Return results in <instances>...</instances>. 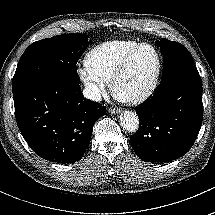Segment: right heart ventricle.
<instances>
[{
    "mask_svg": "<svg viewBox=\"0 0 215 215\" xmlns=\"http://www.w3.org/2000/svg\"><path fill=\"white\" fill-rule=\"evenodd\" d=\"M136 44V40H113L94 47L84 58L85 71L91 77L109 83L126 53Z\"/></svg>",
    "mask_w": 215,
    "mask_h": 215,
    "instance_id": "1",
    "label": "right heart ventricle"
}]
</instances>
